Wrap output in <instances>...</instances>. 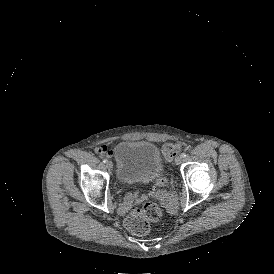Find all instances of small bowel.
Returning <instances> with one entry per match:
<instances>
[{
  "label": "small bowel",
  "mask_w": 274,
  "mask_h": 274,
  "mask_svg": "<svg viewBox=\"0 0 274 274\" xmlns=\"http://www.w3.org/2000/svg\"><path fill=\"white\" fill-rule=\"evenodd\" d=\"M175 146V145H174ZM178 149V148H177ZM97 151L102 154L111 155L113 153L112 148L106 144H102L97 148Z\"/></svg>",
  "instance_id": "small-bowel-1"
}]
</instances>
